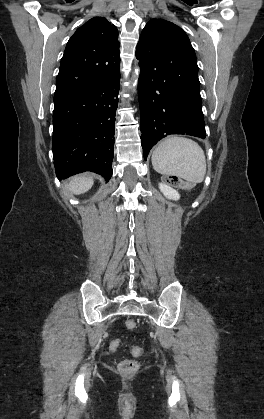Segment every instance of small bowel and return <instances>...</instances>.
<instances>
[{"label": "small bowel", "mask_w": 264, "mask_h": 419, "mask_svg": "<svg viewBox=\"0 0 264 419\" xmlns=\"http://www.w3.org/2000/svg\"><path fill=\"white\" fill-rule=\"evenodd\" d=\"M120 341L119 340H113L112 342H111V344H110V349L112 350V351H116L119 347H120Z\"/></svg>", "instance_id": "1"}]
</instances>
